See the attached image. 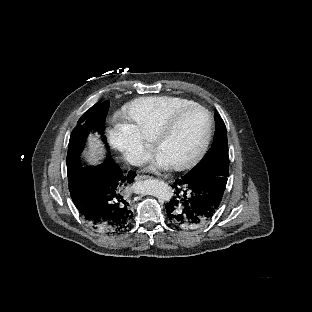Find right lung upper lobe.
<instances>
[{
    "mask_svg": "<svg viewBox=\"0 0 312 312\" xmlns=\"http://www.w3.org/2000/svg\"><path fill=\"white\" fill-rule=\"evenodd\" d=\"M109 156H110V155H108L107 158H108ZM81 168H82V165L80 164V165L77 166L76 170H80ZM103 234H105V233H103Z\"/></svg>",
    "mask_w": 312,
    "mask_h": 312,
    "instance_id": "obj_1",
    "label": "right lung upper lobe"
}]
</instances>
